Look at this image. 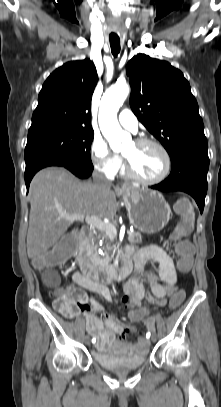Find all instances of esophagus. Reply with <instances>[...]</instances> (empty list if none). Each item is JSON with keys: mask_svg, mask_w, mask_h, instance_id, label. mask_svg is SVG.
I'll use <instances>...</instances> for the list:
<instances>
[{"mask_svg": "<svg viewBox=\"0 0 221 407\" xmlns=\"http://www.w3.org/2000/svg\"><path fill=\"white\" fill-rule=\"evenodd\" d=\"M120 190H121V191H125V188H121Z\"/></svg>", "mask_w": 221, "mask_h": 407, "instance_id": "esophagus-1", "label": "esophagus"}]
</instances>
